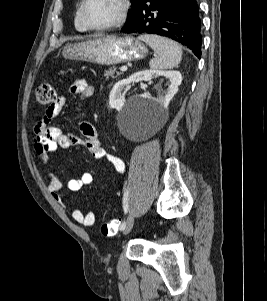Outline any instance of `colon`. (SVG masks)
I'll return each mask as SVG.
<instances>
[{"label": "colon", "instance_id": "obj_1", "mask_svg": "<svg viewBox=\"0 0 267 301\" xmlns=\"http://www.w3.org/2000/svg\"><path fill=\"white\" fill-rule=\"evenodd\" d=\"M35 97L39 105H52L56 100V90L52 84L43 83L37 87ZM118 226L119 222L115 219L105 222L101 226V233L104 236H113L117 233Z\"/></svg>", "mask_w": 267, "mask_h": 301}]
</instances>
